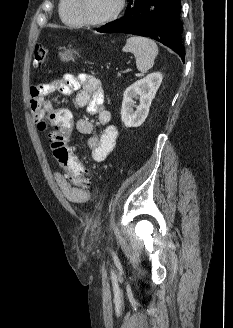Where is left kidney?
<instances>
[{"label": "left kidney", "mask_w": 233, "mask_h": 328, "mask_svg": "<svg viewBox=\"0 0 233 328\" xmlns=\"http://www.w3.org/2000/svg\"><path fill=\"white\" fill-rule=\"evenodd\" d=\"M161 82L162 74L154 72L136 81L125 90L121 107V120L126 127H139L145 121ZM134 99H139L138 106H135ZM133 107H136L135 111Z\"/></svg>", "instance_id": "5707ae66"}]
</instances>
